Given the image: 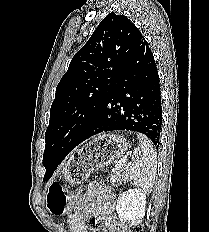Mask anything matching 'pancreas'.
Returning a JSON list of instances; mask_svg holds the SVG:
<instances>
[{
	"label": "pancreas",
	"instance_id": "obj_1",
	"mask_svg": "<svg viewBox=\"0 0 209 232\" xmlns=\"http://www.w3.org/2000/svg\"><path fill=\"white\" fill-rule=\"evenodd\" d=\"M110 181L112 185L115 187L120 186L121 183L125 181V174H124V170L122 167H119L117 169L114 168L112 170Z\"/></svg>",
	"mask_w": 209,
	"mask_h": 232
}]
</instances>
